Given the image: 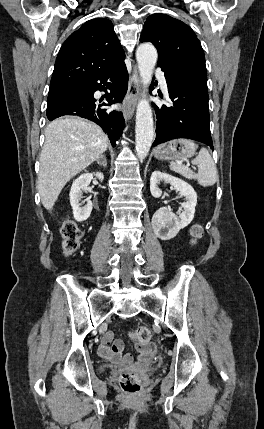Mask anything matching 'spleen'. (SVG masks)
<instances>
[{
    "label": "spleen",
    "mask_w": 264,
    "mask_h": 429,
    "mask_svg": "<svg viewBox=\"0 0 264 429\" xmlns=\"http://www.w3.org/2000/svg\"><path fill=\"white\" fill-rule=\"evenodd\" d=\"M192 163L198 166L196 174L187 166L175 162L170 164V169L187 179H196L203 187H209L216 183L218 179L217 169L206 148H201L198 156L192 160Z\"/></svg>",
    "instance_id": "spleen-1"
}]
</instances>
